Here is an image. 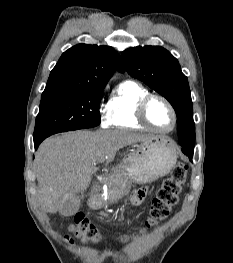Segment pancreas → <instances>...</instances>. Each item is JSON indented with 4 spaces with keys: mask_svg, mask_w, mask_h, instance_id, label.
<instances>
[{
    "mask_svg": "<svg viewBox=\"0 0 233 263\" xmlns=\"http://www.w3.org/2000/svg\"><path fill=\"white\" fill-rule=\"evenodd\" d=\"M113 182L114 183H117L118 182V179L117 178H114L113 179ZM121 197V195L116 191H112L109 193L108 195V201L111 203V202H116L119 198Z\"/></svg>",
    "mask_w": 233,
    "mask_h": 263,
    "instance_id": "cf45deb5",
    "label": "pancreas"
}]
</instances>
